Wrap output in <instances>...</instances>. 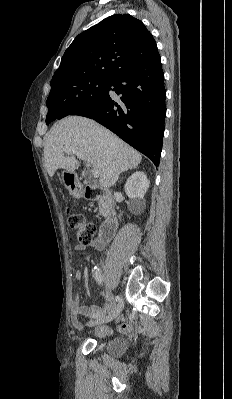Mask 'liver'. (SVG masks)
Listing matches in <instances>:
<instances>
[{
	"label": "liver",
	"mask_w": 232,
	"mask_h": 399,
	"mask_svg": "<svg viewBox=\"0 0 232 399\" xmlns=\"http://www.w3.org/2000/svg\"><path fill=\"white\" fill-rule=\"evenodd\" d=\"M64 146L75 148L94 170H98L99 186L104 190L116 184L121 172L135 168L142 160L139 152L93 120L68 116L54 124L44 148L45 168L50 178L58 168L74 172L80 166L73 154L65 156Z\"/></svg>",
	"instance_id": "1"
}]
</instances>
